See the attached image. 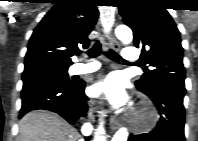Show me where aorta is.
Masks as SVG:
<instances>
[{"mask_svg":"<svg viewBox=\"0 0 198 141\" xmlns=\"http://www.w3.org/2000/svg\"><path fill=\"white\" fill-rule=\"evenodd\" d=\"M116 37L125 45L130 44L133 39L132 31L125 25H120L115 29ZM128 130L125 127L120 128L112 138V141H127Z\"/></svg>","mask_w":198,"mask_h":141,"instance_id":"1","label":"aorta"}]
</instances>
